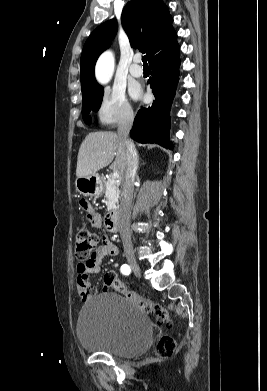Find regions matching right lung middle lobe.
I'll use <instances>...</instances> for the list:
<instances>
[{
  "label": "right lung middle lobe",
  "mask_w": 267,
  "mask_h": 391,
  "mask_svg": "<svg viewBox=\"0 0 267 391\" xmlns=\"http://www.w3.org/2000/svg\"><path fill=\"white\" fill-rule=\"evenodd\" d=\"M103 93V87H101L100 85L82 93V115L86 124H90L92 120L91 116H89L90 111H98V109L100 108Z\"/></svg>",
  "instance_id": "obj_1"
}]
</instances>
